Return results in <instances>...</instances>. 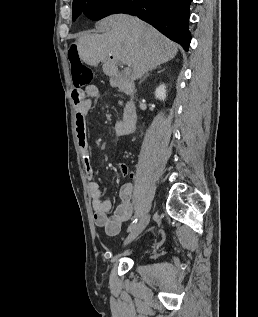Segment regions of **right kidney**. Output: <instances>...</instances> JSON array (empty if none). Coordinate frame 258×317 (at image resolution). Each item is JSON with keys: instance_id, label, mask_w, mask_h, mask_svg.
Returning <instances> with one entry per match:
<instances>
[{"instance_id": "ca27d5eb", "label": "right kidney", "mask_w": 258, "mask_h": 317, "mask_svg": "<svg viewBox=\"0 0 258 317\" xmlns=\"http://www.w3.org/2000/svg\"><path fill=\"white\" fill-rule=\"evenodd\" d=\"M155 96L156 98H159V100H164L166 98V86L165 84H159L155 90Z\"/></svg>"}]
</instances>
